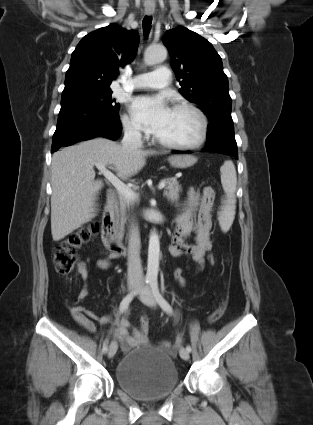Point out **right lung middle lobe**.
Here are the masks:
<instances>
[{
  "mask_svg": "<svg viewBox=\"0 0 313 425\" xmlns=\"http://www.w3.org/2000/svg\"><path fill=\"white\" fill-rule=\"evenodd\" d=\"M112 93L110 88L75 90L62 93L61 102L65 100H76L118 112L120 105L111 97Z\"/></svg>",
  "mask_w": 313,
  "mask_h": 425,
  "instance_id": "1",
  "label": "right lung middle lobe"
}]
</instances>
